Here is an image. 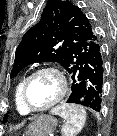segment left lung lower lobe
I'll use <instances>...</instances> for the list:
<instances>
[{
    "label": "left lung lower lobe",
    "instance_id": "left-lung-lower-lobe-1",
    "mask_svg": "<svg viewBox=\"0 0 117 136\" xmlns=\"http://www.w3.org/2000/svg\"><path fill=\"white\" fill-rule=\"evenodd\" d=\"M69 74L72 78V92L67 102L81 104L100 112L105 61L98 36L89 42L87 51L77 57Z\"/></svg>",
    "mask_w": 117,
    "mask_h": 136
}]
</instances>
